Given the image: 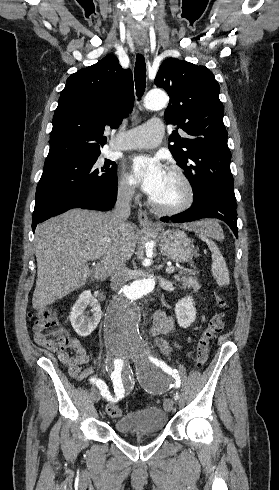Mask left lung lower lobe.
<instances>
[{
	"label": "left lung lower lobe",
	"mask_w": 279,
	"mask_h": 490,
	"mask_svg": "<svg viewBox=\"0 0 279 490\" xmlns=\"http://www.w3.org/2000/svg\"><path fill=\"white\" fill-rule=\"evenodd\" d=\"M237 204L234 192L208 187L194 198L193 206L170 218H161L163 222L183 223L202 218H217L229 225L238 238Z\"/></svg>",
	"instance_id": "left-lung-lower-lobe-1"
}]
</instances>
